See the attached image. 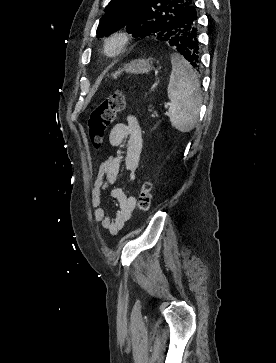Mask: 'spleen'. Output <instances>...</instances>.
Masks as SVG:
<instances>
[{"mask_svg":"<svg viewBox=\"0 0 276 363\" xmlns=\"http://www.w3.org/2000/svg\"><path fill=\"white\" fill-rule=\"evenodd\" d=\"M172 72L168 84L171 125L182 133L190 132L198 122L202 104L200 82L196 72L178 53L171 55Z\"/></svg>","mask_w":276,"mask_h":363,"instance_id":"1","label":"spleen"}]
</instances>
